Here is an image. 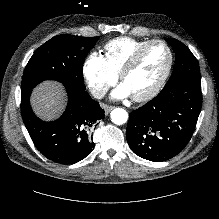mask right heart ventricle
Returning a JSON list of instances; mask_svg holds the SVG:
<instances>
[{
  "label": "right heart ventricle",
  "instance_id": "obj_1",
  "mask_svg": "<svg viewBox=\"0 0 219 219\" xmlns=\"http://www.w3.org/2000/svg\"><path fill=\"white\" fill-rule=\"evenodd\" d=\"M149 40L132 37H118L108 41L104 46V57L110 68L118 74L128 58Z\"/></svg>",
  "mask_w": 219,
  "mask_h": 219
}]
</instances>
